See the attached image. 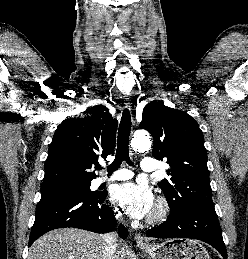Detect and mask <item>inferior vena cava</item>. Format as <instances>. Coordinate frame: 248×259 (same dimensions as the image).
Returning a JSON list of instances; mask_svg holds the SVG:
<instances>
[{
	"instance_id": "inferior-vena-cava-1",
	"label": "inferior vena cava",
	"mask_w": 248,
	"mask_h": 259,
	"mask_svg": "<svg viewBox=\"0 0 248 259\" xmlns=\"http://www.w3.org/2000/svg\"><path fill=\"white\" fill-rule=\"evenodd\" d=\"M118 235L116 232L104 234V259H115L117 252Z\"/></svg>"
}]
</instances>
